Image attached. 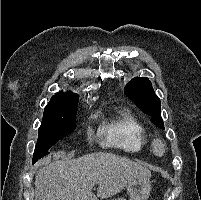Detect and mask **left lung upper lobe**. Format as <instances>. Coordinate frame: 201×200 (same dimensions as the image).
I'll return each mask as SVG.
<instances>
[{
    "instance_id": "obj_1",
    "label": "left lung upper lobe",
    "mask_w": 201,
    "mask_h": 200,
    "mask_svg": "<svg viewBox=\"0 0 201 200\" xmlns=\"http://www.w3.org/2000/svg\"><path fill=\"white\" fill-rule=\"evenodd\" d=\"M127 96L142 110L151 116L152 121L164 129L163 119L161 118L160 99L156 96L151 82L148 78H134L125 88Z\"/></svg>"
}]
</instances>
